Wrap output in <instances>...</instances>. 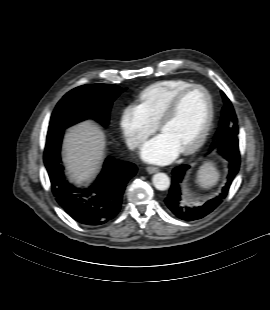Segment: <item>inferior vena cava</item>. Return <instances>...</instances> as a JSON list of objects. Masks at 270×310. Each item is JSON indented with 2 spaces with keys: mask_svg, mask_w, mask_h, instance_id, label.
<instances>
[{
  "mask_svg": "<svg viewBox=\"0 0 270 310\" xmlns=\"http://www.w3.org/2000/svg\"><path fill=\"white\" fill-rule=\"evenodd\" d=\"M128 146L130 149H134L136 147V145H134V144H129Z\"/></svg>",
  "mask_w": 270,
  "mask_h": 310,
  "instance_id": "602c4592",
  "label": "inferior vena cava"
}]
</instances>
